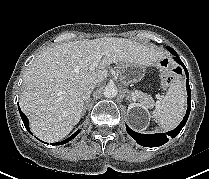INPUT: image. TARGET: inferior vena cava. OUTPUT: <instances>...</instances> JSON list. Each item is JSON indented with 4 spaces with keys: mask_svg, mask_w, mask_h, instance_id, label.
<instances>
[{
    "mask_svg": "<svg viewBox=\"0 0 209 179\" xmlns=\"http://www.w3.org/2000/svg\"><path fill=\"white\" fill-rule=\"evenodd\" d=\"M95 87H96V84H92V85L88 88V90L86 91V93H85V95H84V97H83V99H84L85 101H87L88 98H90V94H91V92L95 89Z\"/></svg>",
    "mask_w": 209,
    "mask_h": 179,
    "instance_id": "602c4592",
    "label": "inferior vena cava"
}]
</instances>
